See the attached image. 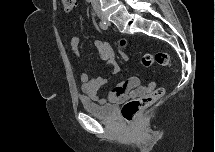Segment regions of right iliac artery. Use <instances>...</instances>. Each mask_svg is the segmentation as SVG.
Returning a JSON list of instances; mask_svg holds the SVG:
<instances>
[{
	"mask_svg": "<svg viewBox=\"0 0 215 152\" xmlns=\"http://www.w3.org/2000/svg\"><path fill=\"white\" fill-rule=\"evenodd\" d=\"M99 26H100V28L103 29V30H107V29H108V25H107L106 22H104V21H100V22H99Z\"/></svg>",
	"mask_w": 215,
	"mask_h": 152,
	"instance_id": "82829eb1",
	"label": "right iliac artery"
}]
</instances>
